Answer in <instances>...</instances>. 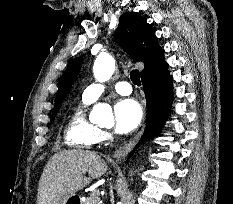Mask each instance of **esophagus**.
Instances as JSON below:
<instances>
[{
    "mask_svg": "<svg viewBox=\"0 0 233 204\" xmlns=\"http://www.w3.org/2000/svg\"><path fill=\"white\" fill-rule=\"evenodd\" d=\"M142 133H143V129H141L129 142L125 143L122 147L117 149L114 153V156L116 158L125 156L139 141Z\"/></svg>",
    "mask_w": 233,
    "mask_h": 204,
    "instance_id": "1",
    "label": "esophagus"
}]
</instances>
